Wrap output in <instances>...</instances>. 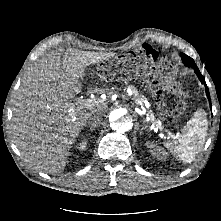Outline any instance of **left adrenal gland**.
<instances>
[{
  "instance_id": "left-adrenal-gland-1",
  "label": "left adrenal gland",
  "mask_w": 221,
  "mask_h": 221,
  "mask_svg": "<svg viewBox=\"0 0 221 221\" xmlns=\"http://www.w3.org/2000/svg\"><path fill=\"white\" fill-rule=\"evenodd\" d=\"M146 128H147V127H146V126H144V127H142V130H143V129H146Z\"/></svg>"
}]
</instances>
